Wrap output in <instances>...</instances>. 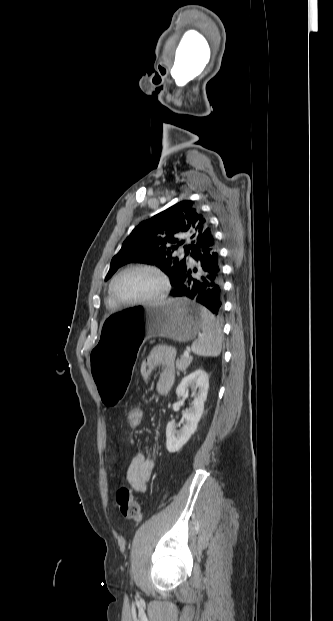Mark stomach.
Masks as SVG:
<instances>
[{"mask_svg":"<svg viewBox=\"0 0 333 621\" xmlns=\"http://www.w3.org/2000/svg\"><path fill=\"white\" fill-rule=\"evenodd\" d=\"M202 307L186 298L134 306L105 316L92 347V379L102 396V409H118L132 385L133 361L143 340L164 337L188 342L201 330Z\"/></svg>","mask_w":333,"mask_h":621,"instance_id":"stomach-1","label":"stomach"}]
</instances>
